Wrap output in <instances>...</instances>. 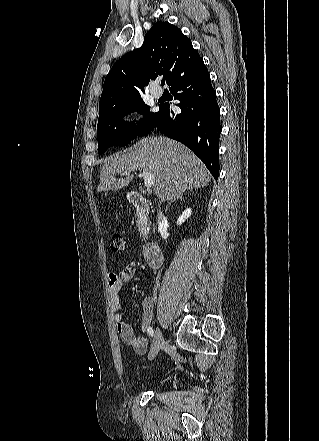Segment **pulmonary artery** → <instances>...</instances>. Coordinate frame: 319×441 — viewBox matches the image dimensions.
Returning <instances> with one entry per match:
<instances>
[{
    "label": "pulmonary artery",
    "instance_id": "obj_1",
    "mask_svg": "<svg viewBox=\"0 0 319 441\" xmlns=\"http://www.w3.org/2000/svg\"><path fill=\"white\" fill-rule=\"evenodd\" d=\"M151 94H152L153 97L159 98V97L162 96V91L160 89H157V88H152L151 89Z\"/></svg>",
    "mask_w": 319,
    "mask_h": 441
}]
</instances>
